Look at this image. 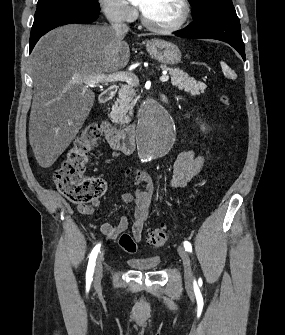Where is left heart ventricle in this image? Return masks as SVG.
Instances as JSON below:
<instances>
[{
  "instance_id": "obj_1",
  "label": "left heart ventricle",
  "mask_w": 285,
  "mask_h": 335,
  "mask_svg": "<svg viewBox=\"0 0 285 335\" xmlns=\"http://www.w3.org/2000/svg\"><path fill=\"white\" fill-rule=\"evenodd\" d=\"M142 11L146 19L156 27L172 26L183 16V9L177 1H145Z\"/></svg>"
}]
</instances>
